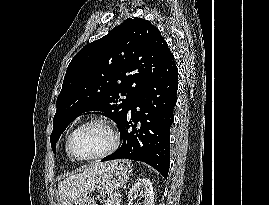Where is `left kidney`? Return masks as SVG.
I'll return each instance as SVG.
<instances>
[{"label":"left kidney","mask_w":269,"mask_h":205,"mask_svg":"<svg viewBox=\"0 0 269 205\" xmlns=\"http://www.w3.org/2000/svg\"><path fill=\"white\" fill-rule=\"evenodd\" d=\"M144 192L143 205H154V193L152 183L148 178H142L130 189L128 198L133 200L134 195ZM130 205V204H129Z\"/></svg>","instance_id":"5707ae66"}]
</instances>
